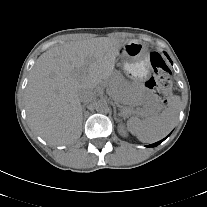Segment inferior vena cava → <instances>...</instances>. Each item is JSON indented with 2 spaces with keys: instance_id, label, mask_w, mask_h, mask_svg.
Here are the masks:
<instances>
[{
  "instance_id": "inferior-vena-cava-1",
  "label": "inferior vena cava",
  "mask_w": 207,
  "mask_h": 207,
  "mask_svg": "<svg viewBox=\"0 0 207 207\" xmlns=\"http://www.w3.org/2000/svg\"><path fill=\"white\" fill-rule=\"evenodd\" d=\"M79 98L81 102L89 103L95 99V93L90 89H83L79 93Z\"/></svg>"
}]
</instances>
